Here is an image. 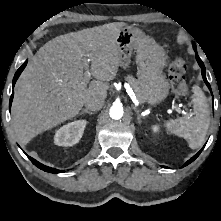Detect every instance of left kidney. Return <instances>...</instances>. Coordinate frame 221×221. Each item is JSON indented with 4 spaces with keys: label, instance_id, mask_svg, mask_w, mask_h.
I'll list each match as a JSON object with an SVG mask.
<instances>
[{
    "label": "left kidney",
    "instance_id": "1",
    "mask_svg": "<svg viewBox=\"0 0 221 221\" xmlns=\"http://www.w3.org/2000/svg\"><path fill=\"white\" fill-rule=\"evenodd\" d=\"M159 130H160L159 125H153V126H152V131H153L154 133H158Z\"/></svg>",
    "mask_w": 221,
    "mask_h": 221
}]
</instances>
